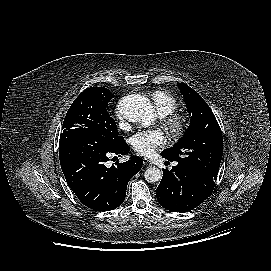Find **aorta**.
Listing matches in <instances>:
<instances>
[{
    "label": "aorta",
    "mask_w": 271,
    "mask_h": 271,
    "mask_svg": "<svg viewBox=\"0 0 271 271\" xmlns=\"http://www.w3.org/2000/svg\"><path fill=\"white\" fill-rule=\"evenodd\" d=\"M124 117L135 123L149 126L154 119L153 106L150 100L140 94H133L124 100ZM145 180L149 183L158 182L162 172L156 167H149L144 173Z\"/></svg>",
    "instance_id": "762f6f07"
}]
</instances>
